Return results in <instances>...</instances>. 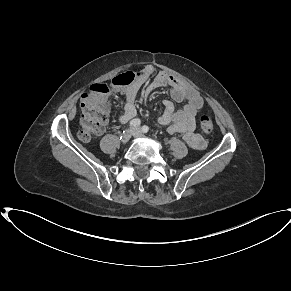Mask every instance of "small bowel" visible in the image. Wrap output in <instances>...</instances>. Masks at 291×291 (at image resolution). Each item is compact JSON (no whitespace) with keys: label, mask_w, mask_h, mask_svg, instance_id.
<instances>
[{"label":"small bowel","mask_w":291,"mask_h":291,"mask_svg":"<svg viewBox=\"0 0 291 291\" xmlns=\"http://www.w3.org/2000/svg\"><path fill=\"white\" fill-rule=\"evenodd\" d=\"M155 69L151 65L145 66L138 74V77L131 84L121 89L125 97L123 112L118 117V122L123 124L134 118L136 115L135 97L143 82L153 76ZM168 87L171 97L176 102H186L185 105L176 109L170 100L163 102V113L158 122L161 125H168L170 133H182L184 141L193 149L201 150L205 146L203 138L195 132V117L202 108L203 101L194 87L188 83L167 74L157 73L149 84L147 91L151 92L158 88Z\"/></svg>","instance_id":"obj_1"}]
</instances>
